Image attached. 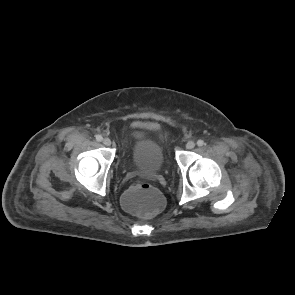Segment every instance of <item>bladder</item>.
I'll use <instances>...</instances> for the list:
<instances>
[{
	"label": "bladder",
	"instance_id": "bladder-1",
	"mask_svg": "<svg viewBox=\"0 0 295 295\" xmlns=\"http://www.w3.org/2000/svg\"><path fill=\"white\" fill-rule=\"evenodd\" d=\"M124 160L129 166L163 170L168 164V154L161 128L142 125L128 132Z\"/></svg>",
	"mask_w": 295,
	"mask_h": 295
}]
</instances>
